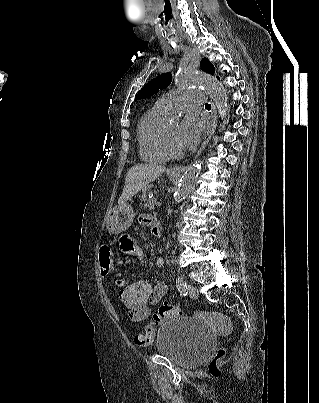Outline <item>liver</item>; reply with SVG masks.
<instances>
[{
	"label": "liver",
	"instance_id": "1",
	"mask_svg": "<svg viewBox=\"0 0 319 403\" xmlns=\"http://www.w3.org/2000/svg\"><path fill=\"white\" fill-rule=\"evenodd\" d=\"M164 166L155 164H137L129 169L123 192L118 199V206L125 204L147 184L156 180L165 172Z\"/></svg>",
	"mask_w": 319,
	"mask_h": 403
}]
</instances>
